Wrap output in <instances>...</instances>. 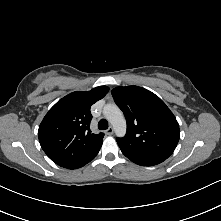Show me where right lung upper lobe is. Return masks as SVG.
I'll return each mask as SVG.
<instances>
[{"label": "right lung upper lobe", "mask_w": 221, "mask_h": 221, "mask_svg": "<svg viewBox=\"0 0 221 221\" xmlns=\"http://www.w3.org/2000/svg\"><path fill=\"white\" fill-rule=\"evenodd\" d=\"M109 88L77 91L60 99L45 115L39 130V142L56 164L77 169L90 162L99 152L104 134L90 131V107L102 99Z\"/></svg>", "instance_id": "1"}]
</instances>
